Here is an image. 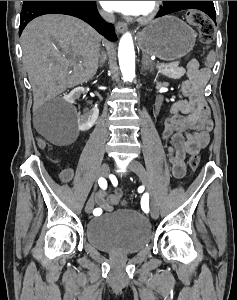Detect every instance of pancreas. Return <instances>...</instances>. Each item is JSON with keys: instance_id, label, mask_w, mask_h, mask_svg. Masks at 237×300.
<instances>
[{"instance_id": "obj_1", "label": "pancreas", "mask_w": 237, "mask_h": 300, "mask_svg": "<svg viewBox=\"0 0 237 300\" xmlns=\"http://www.w3.org/2000/svg\"><path fill=\"white\" fill-rule=\"evenodd\" d=\"M152 63V61H151ZM152 65H155V63H152ZM159 65H161L159 73H162V75H165V77H170V79H180V77H183L184 73H185V69H182V67H177L176 69L173 68H169V65H164V63H159ZM162 66H167V67H162ZM178 66V65H177Z\"/></svg>"}]
</instances>
